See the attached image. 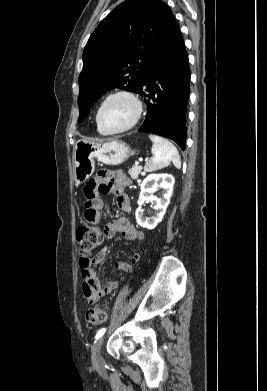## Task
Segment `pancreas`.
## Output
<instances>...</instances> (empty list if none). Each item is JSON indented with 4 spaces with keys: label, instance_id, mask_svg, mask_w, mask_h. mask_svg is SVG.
<instances>
[{
    "label": "pancreas",
    "instance_id": "obj_1",
    "mask_svg": "<svg viewBox=\"0 0 267 391\" xmlns=\"http://www.w3.org/2000/svg\"><path fill=\"white\" fill-rule=\"evenodd\" d=\"M141 170L142 166H133L131 169H129L128 173L132 179H137L138 175L141 173Z\"/></svg>",
    "mask_w": 267,
    "mask_h": 391
}]
</instances>
